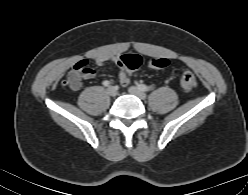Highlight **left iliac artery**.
Instances as JSON below:
<instances>
[{
	"label": "left iliac artery",
	"instance_id": "left-iliac-artery-1",
	"mask_svg": "<svg viewBox=\"0 0 248 195\" xmlns=\"http://www.w3.org/2000/svg\"><path fill=\"white\" fill-rule=\"evenodd\" d=\"M138 88L141 90V91H144V92H147L150 90V88L148 86H146L145 84H139L138 85Z\"/></svg>",
	"mask_w": 248,
	"mask_h": 195
}]
</instances>
